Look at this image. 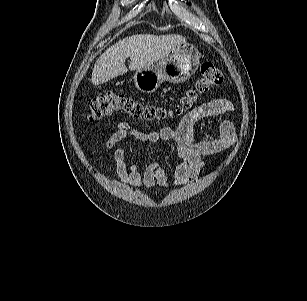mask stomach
I'll use <instances>...</instances> for the list:
<instances>
[{
  "instance_id": "stomach-1",
  "label": "stomach",
  "mask_w": 307,
  "mask_h": 301,
  "mask_svg": "<svg viewBox=\"0 0 307 301\" xmlns=\"http://www.w3.org/2000/svg\"><path fill=\"white\" fill-rule=\"evenodd\" d=\"M200 53L197 48L188 43L175 46L168 55L157 64H151L137 69L133 82L143 93H153L163 81L183 83L198 69Z\"/></svg>"
}]
</instances>
